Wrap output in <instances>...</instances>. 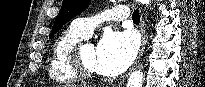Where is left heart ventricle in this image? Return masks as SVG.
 <instances>
[{
    "label": "left heart ventricle",
    "mask_w": 205,
    "mask_h": 87,
    "mask_svg": "<svg viewBox=\"0 0 205 87\" xmlns=\"http://www.w3.org/2000/svg\"><path fill=\"white\" fill-rule=\"evenodd\" d=\"M82 62L86 68L95 71L96 48L93 45L86 44L81 51Z\"/></svg>",
    "instance_id": "b2bd125f"
}]
</instances>
